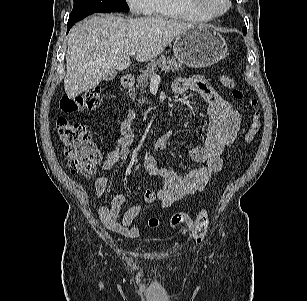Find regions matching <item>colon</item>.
I'll list each match as a JSON object with an SVG mask.
<instances>
[{"mask_svg": "<svg viewBox=\"0 0 307 301\" xmlns=\"http://www.w3.org/2000/svg\"><path fill=\"white\" fill-rule=\"evenodd\" d=\"M221 83L225 89L231 92L234 99L243 100L245 98L244 91L231 76L223 74ZM100 102V89L95 87L74 98H64L61 102V109L66 113L94 110L99 107ZM249 103L253 112L245 135V142L248 145L254 141L261 125V115L256 100H251ZM57 127L70 170L83 176L94 175L102 155L92 139L91 132L82 124L62 117L58 118ZM208 219L207 209H202L195 221L191 220L187 213L177 212L170 217V225L172 228L187 225L194 237H200L207 229ZM158 225L159 221L156 218L149 220L150 227L155 228Z\"/></svg>", "mask_w": 307, "mask_h": 301, "instance_id": "colon-1", "label": "colon"}]
</instances>
